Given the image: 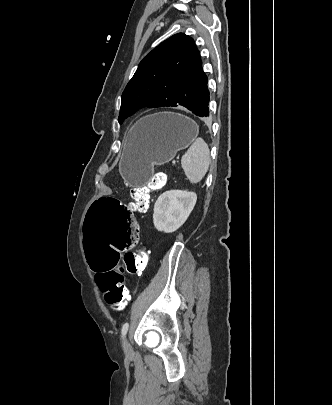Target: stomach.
<instances>
[{"label":"stomach","instance_id":"stomach-1","mask_svg":"<svg viewBox=\"0 0 332 405\" xmlns=\"http://www.w3.org/2000/svg\"><path fill=\"white\" fill-rule=\"evenodd\" d=\"M198 133L196 122L182 114L161 112L141 118L130 129L120 158L122 178L133 188L146 185L154 166L170 162Z\"/></svg>","mask_w":332,"mask_h":405}]
</instances>
